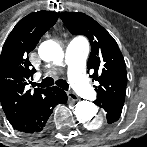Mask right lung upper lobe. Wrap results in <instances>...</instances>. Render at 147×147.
I'll list each match as a JSON object with an SVG mask.
<instances>
[{
  "label": "right lung upper lobe",
  "instance_id": "obj_1",
  "mask_svg": "<svg viewBox=\"0 0 147 147\" xmlns=\"http://www.w3.org/2000/svg\"><path fill=\"white\" fill-rule=\"evenodd\" d=\"M59 14L51 11L34 12L21 19L6 39L0 55V101L9 121L28 111L47 89L27 90L35 68L28 54L43 34L57 21Z\"/></svg>",
  "mask_w": 147,
  "mask_h": 147
}]
</instances>
